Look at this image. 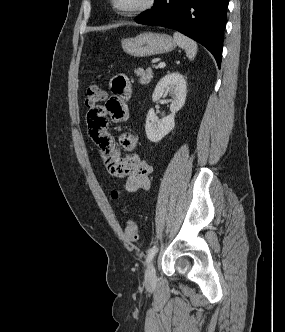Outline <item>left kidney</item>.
Instances as JSON below:
<instances>
[{"mask_svg": "<svg viewBox=\"0 0 285 332\" xmlns=\"http://www.w3.org/2000/svg\"><path fill=\"white\" fill-rule=\"evenodd\" d=\"M165 93H169L172 97L170 111L171 114L159 120L151 108L146 117L145 131L147 138L151 142H159L175 127V114L185 104L186 99V80L179 72H173L165 75L156 85L152 95L153 102L164 97Z\"/></svg>", "mask_w": 285, "mask_h": 332, "instance_id": "5707ae66", "label": "left kidney"}]
</instances>
